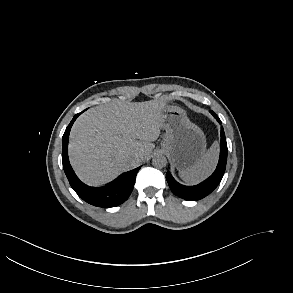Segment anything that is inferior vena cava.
I'll return each instance as SVG.
<instances>
[{
  "label": "inferior vena cava",
  "instance_id": "inferior-vena-cava-1",
  "mask_svg": "<svg viewBox=\"0 0 293 293\" xmlns=\"http://www.w3.org/2000/svg\"><path fill=\"white\" fill-rule=\"evenodd\" d=\"M132 160H133V161L138 160V156H137V155L133 156Z\"/></svg>",
  "mask_w": 293,
  "mask_h": 293
}]
</instances>
